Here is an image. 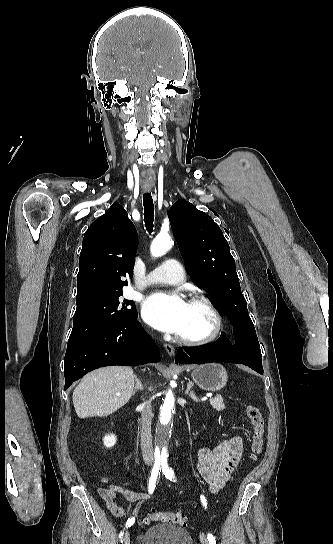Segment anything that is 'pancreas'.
Instances as JSON below:
<instances>
[{
  "mask_svg": "<svg viewBox=\"0 0 333 544\" xmlns=\"http://www.w3.org/2000/svg\"><path fill=\"white\" fill-rule=\"evenodd\" d=\"M210 404L213 407V409L217 411H221L225 409V404L223 402V398L221 395H217L216 397L211 398Z\"/></svg>",
  "mask_w": 333,
  "mask_h": 544,
  "instance_id": "obj_1",
  "label": "pancreas"
}]
</instances>
